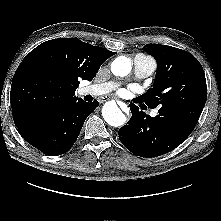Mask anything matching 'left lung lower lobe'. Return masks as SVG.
I'll return each instance as SVG.
<instances>
[{"label":"left lung lower lobe","instance_id":"obj_1","mask_svg":"<svg viewBox=\"0 0 221 221\" xmlns=\"http://www.w3.org/2000/svg\"><path fill=\"white\" fill-rule=\"evenodd\" d=\"M132 117L119 132V139L132 153L141 157H156L179 146L192 131L179 125L172 118L157 115L146 116L145 112L130 104Z\"/></svg>","mask_w":221,"mask_h":221}]
</instances>
